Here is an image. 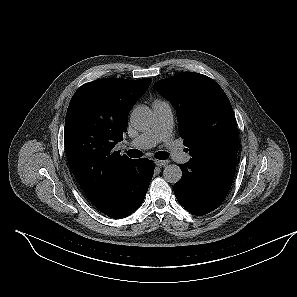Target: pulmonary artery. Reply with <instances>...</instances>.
Instances as JSON below:
<instances>
[{"instance_id": "1", "label": "pulmonary artery", "mask_w": 297, "mask_h": 297, "mask_svg": "<svg viewBox=\"0 0 297 297\" xmlns=\"http://www.w3.org/2000/svg\"><path fill=\"white\" fill-rule=\"evenodd\" d=\"M154 122L150 129L133 139L129 145L141 149L151 148L158 143H164L169 154L178 162H187L190 155L184 153L172 142L174 116L171 104L165 100H155L152 103Z\"/></svg>"}]
</instances>
